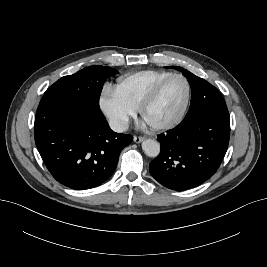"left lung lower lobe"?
<instances>
[{"label":"left lung lower lobe","instance_id":"0a47b994","mask_svg":"<svg viewBox=\"0 0 267 267\" xmlns=\"http://www.w3.org/2000/svg\"><path fill=\"white\" fill-rule=\"evenodd\" d=\"M228 110L213 112L206 98L190 104L179 126L158 135L160 154L149 171L163 186L187 190L208 180L219 168L228 148Z\"/></svg>","mask_w":267,"mask_h":267}]
</instances>
